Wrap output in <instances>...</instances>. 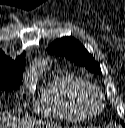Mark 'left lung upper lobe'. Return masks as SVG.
<instances>
[{
    "label": "left lung upper lobe",
    "instance_id": "left-lung-upper-lobe-1",
    "mask_svg": "<svg viewBox=\"0 0 125 128\" xmlns=\"http://www.w3.org/2000/svg\"><path fill=\"white\" fill-rule=\"evenodd\" d=\"M50 53L65 56L69 60L84 66L94 73H100V65L95 61L91 54L87 52L84 46L76 39L63 37L57 39L48 47ZM124 125V122H121Z\"/></svg>",
    "mask_w": 125,
    "mask_h": 128
}]
</instances>
